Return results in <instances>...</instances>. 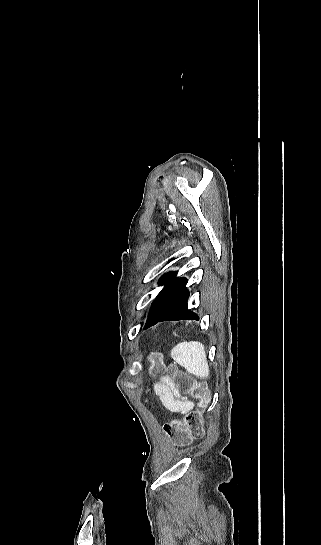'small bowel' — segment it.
Returning <instances> with one entry per match:
<instances>
[{
  "mask_svg": "<svg viewBox=\"0 0 321 545\" xmlns=\"http://www.w3.org/2000/svg\"><path fill=\"white\" fill-rule=\"evenodd\" d=\"M154 391L159 397L162 405L170 412L187 413L194 407L193 403L184 397L179 396L172 388L171 381L164 377L154 386Z\"/></svg>",
  "mask_w": 321,
  "mask_h": 545,
  "instance_id": "1",
  "label": "small bowel"
}]
</instances>
